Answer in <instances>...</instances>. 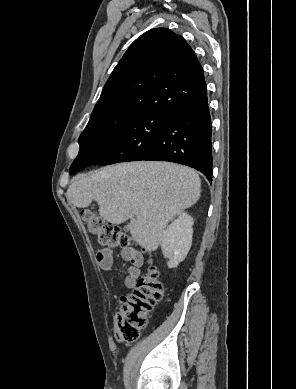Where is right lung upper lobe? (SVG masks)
Segmentation results:
<instances>
[{
    "mask_svg": "<svg viewBox=\"0 0 296 389\" xmlns=\"http://www.w3.org/2000/svg\"><path fill=\"white\" fill-rule=\"evenodd\" d=\"M206 101L204 71L195 52L180 35L155 28L142 34L125 52L91 118L116 111L172 117Z\"/></svg>",
    "mask_w": 296,
    "mask_h": 389,
    "instance_id": "obj_1",
    "label": "right lung upper lobe"
}]
</instances>
